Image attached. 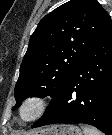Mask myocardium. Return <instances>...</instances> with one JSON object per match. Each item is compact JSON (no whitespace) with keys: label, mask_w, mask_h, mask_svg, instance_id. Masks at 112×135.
<instances>
[{"label":"myocardium","mask_w":112,"mask_h":135,"mask_svg":"<svg viewBox=\"0 0 112 135\" xmlns=\"http://www.w3.org/2000/svg\"><path fill=\"white\" fill-rule=\"evenodd\" d=\"M46 100L39 95L26 97L18 107V118L24 123L38 120L46 110Z\"/></svg>","instance_id":"f54148a6"}]
</instances>
